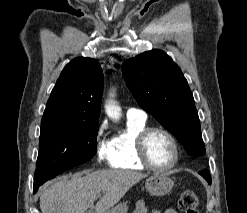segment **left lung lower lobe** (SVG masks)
<instances>
[{
	"mask_svg": "<svg viewBox=\"0 0 247 213\" xmlns=\"http://www.w3.org/2000/svg\"><path fill=\"white\" fill-rule=\"evenodd\" d=\"M199 174L202 175L209 184L211 183V177L208 171L199 172Z\"/></svg>",
	"mask_w": 247,
	"mask_h": 213,
	"instance_id": "obj_1",
	"label": "left lung lower lobe"
}]
</instances>
